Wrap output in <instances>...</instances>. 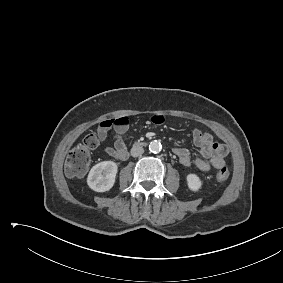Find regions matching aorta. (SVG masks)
<instances>
[{
  "label": "aorta",
  "mask_w": 283,
  "mask_h": 283,
  "mask_svg": "<svg viewBox=\"0 0 283 283\" xmlns=\"http://www.w3.org/2000/svg\"><path fill=\"white\" fill-rule=\"evenodd\" d=\"M161 149H162V145H161L160 142H158V141H156V140L150 142V144H149V150H150V152L156 154V153H159V152L161 151Z\"/></svg>",
  "instance_id": "obj_1"
}]
</instances>
